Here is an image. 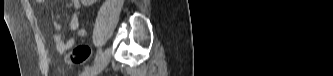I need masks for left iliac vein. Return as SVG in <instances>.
Returning a JSON list of instances; mask_svg holds the SVG:
<instances>
[{"label": "left iliac vein", "instance_id": "4c4485c4", "mask_svg": "<svg viewBox=\"0 0 333 76\" xmlns=\"http://www.w3.org/2000/svg\"><path fill=\"white\" fill-rule=\"evenodd\" d=\"M111 58V49L106 48L105 51L102 53L100 58L94 63V65L88 69H86L82 76H96L100 72L104 70L107 66Z\"/></svg>", "mask_w": 333, "mask_h": 76}]
</instances>
